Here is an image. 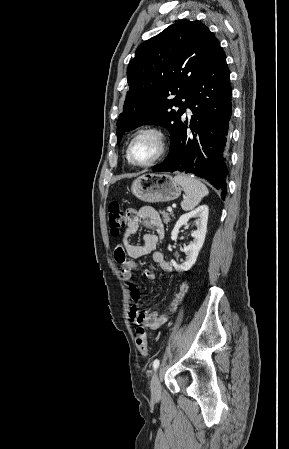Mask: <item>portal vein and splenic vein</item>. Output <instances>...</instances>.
<instances>
[{
    "mask_svg": "<svg viewBox=\"0 0 289 449\" xmlns=\"http://www.w3.org/2000/svg\"><path fill=\"white\" fill-rule=\"evenodd\" d=\"M167 211H168V212H172V208H171V207H168V208H167Z\"/></svg>",
    "mask_w": 289,
    "mask_h": 449,
    "instance_id": "obj_1",
    "label": "portal vein and splenic vein"
}]
</instances>
